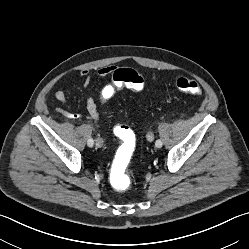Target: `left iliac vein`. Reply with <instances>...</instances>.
<instances>
[{
  "label": "left iliac vein",
  "mask_w": 249,
  "mask_h": 249,
  "mask_svg": "<svg viewBox=\"0 0 249 249\" xmlns=\"http://www.w3.org/2000/svg\"><path fill=\"white\" fill-rule=\"evenodd\" d=\"M147 140L150 141V142L154 140V135H153L152 132H149V133L147 134Z\"/></svg>",
  "instance_id": "4c4485c4"
}]
</instances>
